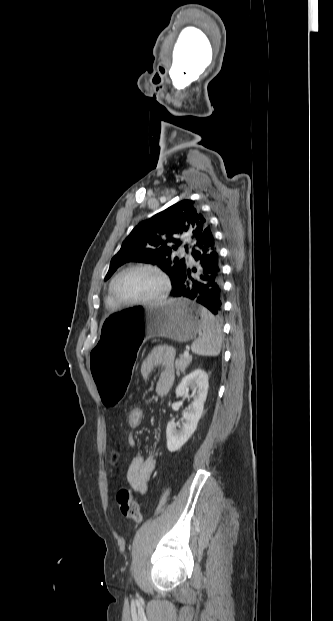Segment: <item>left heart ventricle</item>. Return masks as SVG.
<instances>
[{
  "label": "left heart ventricle",
  "mask_w": 333,
  "mask_h": 621,
  "mask_svg": "<svg viewBox=\"0 0 333 621\" xmlns=\"http://www.w3.org/2000/svg\"><path fill=\"white\" fill-rule=\"evenodd\" d=\"M163 290L159 276L151 271L135 270L121 276L115 284V292L126 301L149 299Z\"/></svg>",
  "instance_id": "left-heart-ventricle-1"
}]
</instances>
